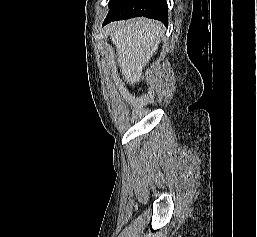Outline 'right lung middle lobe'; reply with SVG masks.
<instances>
[{
  "mask_svg": "<svg viewBox=\"0 0 257 237\" xmlns=\"http://www.w3.org/2000/svg\"><path fill=\"white\" fill-rule=\"evenodd\" d=\"M115 0H110L109 5H111Z\"/></svg>",
  "mask_w": 257,
  "mask_h": 237,
  "instance_id": "obj_1",
  "label": "right lung middle lobe"
}]
</instances>
